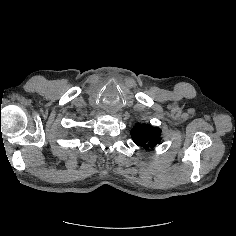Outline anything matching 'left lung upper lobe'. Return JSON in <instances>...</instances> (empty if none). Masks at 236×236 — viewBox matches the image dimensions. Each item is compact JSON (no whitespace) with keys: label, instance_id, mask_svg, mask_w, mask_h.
I'll return each instance as SVG.
<instances>
[{"label":"left lung upper lobe","instance_id":"obj_1","mask_svg":"<svg viewBox=\"0 0 236 236\" xmlns=\"http://www.w3.org/2000/svg\"><path fill=\"white\" fill-rule=\"evenodd\" d=\"M161 130L146 124L137 123L131 130L133 141L145 149L154 147L160 142Z\"/></svg>","mask_w":236,"mask_h":236}]
</instances>
